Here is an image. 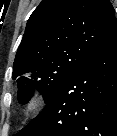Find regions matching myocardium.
I'll use <instances>...</instances> for the list:
<instances>
[{"mask_svg":"<svg viewBox=\"0 0 117 136\" xmlns=\"http://www.w3.org/2000/svg\"><path fill=\"white\" fill-rule=\"evenodd\" d=\"M46 105L45 97L41 94L31 95L23 106V114L32 116L40 113Z\"/></svg>","mask_w":117,"mask_h":136,"instance_id":"1","label":"myocardium"}]
</instances>
